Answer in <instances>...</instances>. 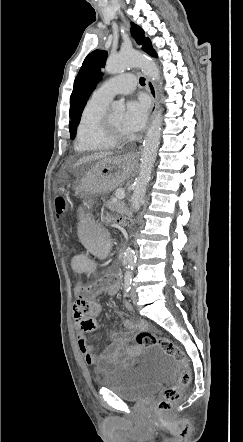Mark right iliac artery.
Returning <instances> with one entry per match:
<instances>
[{
    "label": "right iliac artery",
    "mask_w": 243,
    "mask_h": 442,
    "mask_svg": "<svg viewBox=\"0 0 243 442\" xmlns=\"http://www.w3.org/2000/svg\"><path fill=\"white\" fill-rule=\"evenodd\" d=\"M131 282H132V273L128 272L125 275V284H124V290L125 292H129L131 289Z\"/></svg>",
    "instance_id": "82829eb1"
}]
</instances>
